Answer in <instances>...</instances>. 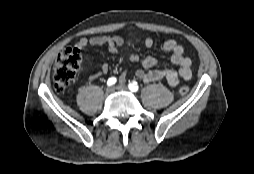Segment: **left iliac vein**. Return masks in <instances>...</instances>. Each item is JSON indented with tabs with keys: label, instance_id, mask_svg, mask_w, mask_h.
Listing matches in <instances>:
<instances>
[{
	"label": "left iliac vein",
	"instance_id": "4c4485c4",
	"mask_svg": "<svg viewBox=\"0 0 254 174\" xmlns=\"http://www.w3.org/2000/svg\"><path fill=\"white\" fill-rule=\"evenodd\" d=\"M116 88L117 90H120V91H128V88L123 84L118 85Z\"/></svg>",
	"mask_w": 254,
	"mask_h": 174
}]
</instances>
